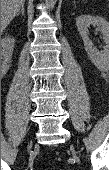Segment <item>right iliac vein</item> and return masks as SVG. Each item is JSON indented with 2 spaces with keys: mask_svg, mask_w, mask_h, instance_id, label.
<instances>
[{
  "mask_svg": "<svg viewBox=\"0 0 109 170\" xmlns=\"http://www.w3.org/2000/svg\"><path fill=\"white\" fill-rule=\"evenodd\" d=\"M28 148L29 150L32 148V142L29 143Z\"/></svg>",
  "mask_w": 109,
  "mask_h": 170,
  "instance_id": "63e3f726",
  "label": "right iliac vein"
}]
</instances>
